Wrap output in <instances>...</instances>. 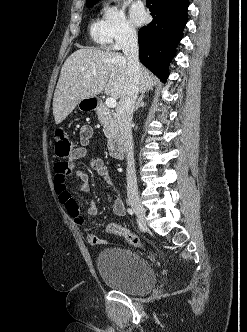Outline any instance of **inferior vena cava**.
Wrapping results in <instances>:
<instances>
[{
	"label": "inferior vena cava",
	"mask_w": 247,
	"mask_h": 332,
	"mask_svg": "<svg viewBox=\"0 0 247 332\" xmlns=\"http://www.w3.org/2000/svg\"><path fill=\"white\" fill-rule=\"evenodd\" d=\"M122 50L128 61L127 72L129 80L117 107V122L121 133V140L127 156V197L129 200H134L138 199V187L135 170L131 121L135 101L139 92V80L141 72V66L139 63L138 38L134 29L127 30L124 37Z\"/></svg>",
	"instance_id": "inferior-vena-cava-1"
}]
</instances>
